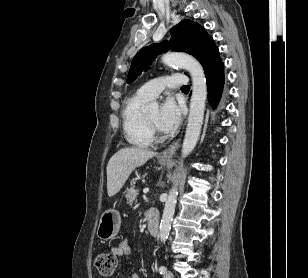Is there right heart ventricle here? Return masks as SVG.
<instances>
[{
  "label": "right heart ventricle",
  "mask_w": 308,
  "mask_h": 278,
  "mask_svg": "<svg viewBox=\"0 0 308 278\" xmlns=\"http://www.w3.org/2000/svg\"><path fill=\"white\" fill-rule=\"evenodd\" d=\"M149 100L138 93L126 99L122 109V125L127 141L139 148L153 142V133L145 122L143 108Z\"/></svg>",
  "instance_id": "e07e8e85"
}]
</instances>
